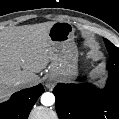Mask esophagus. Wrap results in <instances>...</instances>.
<instances>
[{
  "mask_svg": "<svg viewBox=\"0 0 119 119\" xmlns=\"http://www.w3.org/2000/svg\"><path fill=\"white\" fill-rule=\"evenodd\" d=\"M46 87L49 88V89H51V88L54 87V84H53L52 82H48V83L46 84Z\"/></svg>",
  "mask_w": 119,
  "mask_h": 119,
  "instance_id": "esophagus-1",
  "label": "esophagus"
}]
</instances>
